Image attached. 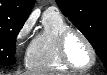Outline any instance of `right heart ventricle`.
Returning a JSON list of instances; mask_svg holds the SVG:
<instances>
[{
	"label": "right heart ventricle",
	"instance_id": "obj_1",
	"mask_svg": "<svg viewBox=\"0 0 107 75\" xmlns=\"http://www.w3.org/2000/svg\"><path fill=\"white\" fill-rule=\"evenodd\" d=\"M68 25L62 15L46 10L41 19V28L32 39L26 56V67L37 72H63L69 70L58 52V38Z\"/></svg>",
	"mask_w": 107,
	"mask_h": 75
}]
</instances>
